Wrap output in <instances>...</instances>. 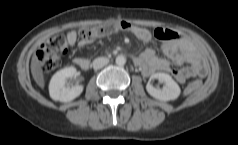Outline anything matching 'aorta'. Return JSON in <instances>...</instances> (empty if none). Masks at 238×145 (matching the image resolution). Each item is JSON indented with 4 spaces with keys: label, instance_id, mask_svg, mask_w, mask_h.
I'll return each mask as SVG.
<instances>
[{
    "label": "aorta",
    "instance_id": "1",
    "mask_svg": "<svg viewBox=\"0 0 238 145\" xmlns=\"http://www.w3.org/2000/svg\"><path fill=\"white\" fill-rule=\"evenodd\" d=\"M116 64L123 66L126 63V58L123 55H118L115 60Z\"/></svg>",
    "mask_w": 238,
    "mask_h": 145
}]
</instances>
